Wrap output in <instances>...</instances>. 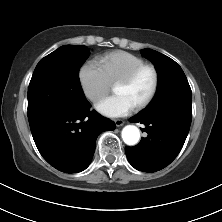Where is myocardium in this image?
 Wrapping results in <instances>:
<instances>
[{"mask_svg": "<svg viewBox=\"0 0 222 222\" xmlns=\"http://www.w3.org/2000/svg\"><path fill=\"white\" fill-rule=\"evenodd\" d=\"M144 70H150L152 72L153 86L148 96L135 107L137 110H142L150 105L158 92L160 77L157 68L152 64L144 63L133 69L128 75L116 82V85H130Z\"/></svg>", "mask_w": 222, "mask_h": 222, "instance_id": "f54148a6", "label": "myocardium"}]
</instances>
